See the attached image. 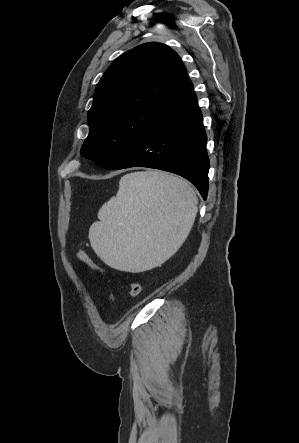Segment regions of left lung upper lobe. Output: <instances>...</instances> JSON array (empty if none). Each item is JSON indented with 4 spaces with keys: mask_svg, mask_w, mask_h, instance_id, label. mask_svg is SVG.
I'll return each mask as SVG.
<instances>
[{
    "mask_svg": "<svg viewBox=\"0 0 299 443\" xmlns=\"http://www.w3.org/2000/svg\"><path fill=\"white\" fill-rule=\"evenodd\" d=\"M189 83L180 57L162 43L123 53L97 84L81 154L112 168Z\"/></svg>",
    "mask_w": 299,
    "mask_h": 443,
    "instance_id": "obj_1",
    "label": "left lung upper lobe"
}]
</instances>
